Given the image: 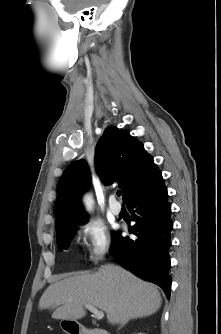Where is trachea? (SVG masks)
I'll list each match as a JSON object with an SVG mask.
<instances>
[{
  "mask_svg": "<svg viewBox=\"0 0 221 334\" xmlns=\"http://www.w3.org/2000/svg\"><path fill=\"white\" fill-rule=\"evenodd\" d=\"M121 195H122V191L121 190L117 191V196H121Z\"/></svg>",
  "mask_w": 221,
  "mask_h": 334,
  "instance_id": "3493384b",
  "label": "trachea"
}]
</instances>
